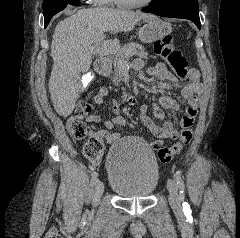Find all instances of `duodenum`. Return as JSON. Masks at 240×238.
<instances>
[{
  "mask_svg": "<svg viewBox=\"0 0 240 238\" xmlns=\"http://www.w3.org/2000/svg\"><path fill=\"white\" fill-rule=\"evenodd\" d=\"M95 68L97 72L103 76L109 75V62L104 58H99L95 61ZM129 101L131 103L135 102V99L133 97L129 98Z\"/></svg>",
  "mask_w": 240,
  "mask_h": 238,
  "instance_id": "1",
  "label": "duodenum"
}]
</instances>
